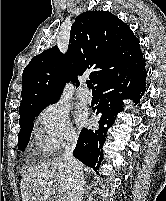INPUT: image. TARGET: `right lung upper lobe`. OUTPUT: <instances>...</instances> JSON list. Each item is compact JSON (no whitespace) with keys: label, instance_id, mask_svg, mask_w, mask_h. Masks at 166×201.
I'll list each match as a JSON object with an SVG mask.
<instances>
[{"label":"right lung upper lobe","instance_id":"obj_1","mask_svg":"<svg viewBox=\"0 0 166 201\" xmlns=\"http://www.w3.org/2000/svg\"><path fill=\"white\" fill-rule=\"evenodd\" d=\"M139 42L110 12L82 13L72 24L66 54L54 46L33 57L25 67L20 116L57 102L66 82L71 80L78 86V76L87 71L98 86L107 75L136 64L143 58Z\"/></svg>","mask_w":166,"mask_h":201}]
</instances>
